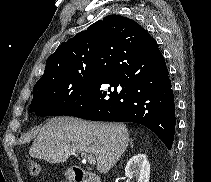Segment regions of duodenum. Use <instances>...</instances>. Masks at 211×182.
Masks as SVG:
<instances>
[{
    "label": "duodenum",
    "mask_w": 211,
    "mask_h": 182,
    "mask_svg": "<svg viewBox=\"0 0 211 182\" xmlns=\"http://www.w3.org/2000/svg\"><path fill=\"white\" fill-rule=\"evenodd\" d=\"M73 180L74 182H102L95 174L78 168H74Z\"/></svg>",
    "instance_id": "1"
}]
</instances>
